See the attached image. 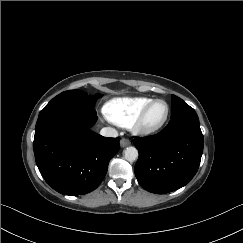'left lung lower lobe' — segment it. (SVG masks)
I'll list each match as a JSON object with an SVG mask.
<instances>
[{
  "label": "left lung lower lobe",
  "instance_id": "1",
  "mask_svg": "<svg viewBox=\"0 0 243 243\" xmlns=\"http://www.w3.org/2000/svg\"><path fill=\"white\" fill-rule=\"evenodd\" d=\"M139 151L135 175L147 191L165 194L185 186L196 174L203 152V134L197 117L171 120L158 134L136 137Z\"/></svg>",
  "mask_w": 243,
  "mask_h": 243
}]
</instances>
